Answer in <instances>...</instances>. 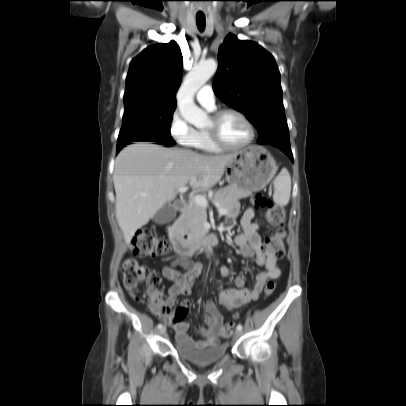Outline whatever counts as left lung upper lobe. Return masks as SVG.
Wrapping results in <instances>:
<instances>
[{"label":"left lung upper lobe","mask_w":406,"mask_h":406,"mask_svg":"<svg viewBox=\"0 0 406 406\" xmlns=\"http://www.w3.org/2000/svg\"><path fill=\"white\" fill-rule=\"evenodd\" d=\"M215 94L256 127L258 142L290 144L280 73L273 56L255 42L229 34L218 51Z\"/></svg>","instance_id":"obj_1"}]
</instances>
